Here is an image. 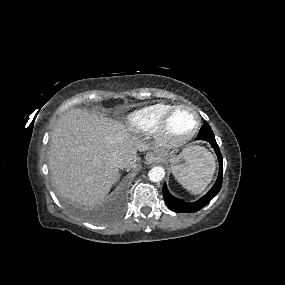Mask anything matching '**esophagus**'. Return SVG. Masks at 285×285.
<instances>
[{"label":"esophagus","instance_id":"obj_1","mask_svg":"<svg viewBox=\"0 0 285 285\" xmlns=\"http://www.w3.org/2000/svg\"><path fill=\"white\" fill-rule=\"evenodd\" d=\"M156 160H157V157L152 152L147 153L145 156V161L147 164L154 163V162H156Z\"/></svg>","mask_w":285,"mask_h":285}]
</instances>
